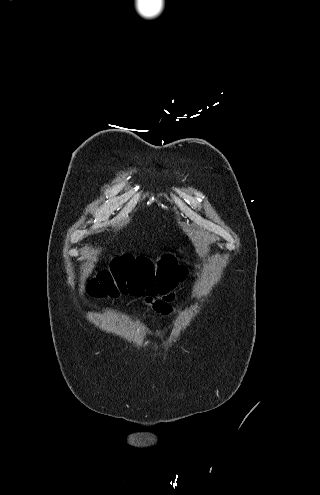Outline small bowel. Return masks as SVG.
Segmentation results:
<instances>
[{
	"mask_svg": "<svg viewBox=\"0 0 320 495\" xmlns=\"http://www.w3.org/2000/svg\"><path fill=\"white\" fill-rule=\"evenodd\" d=\"M183 278H184V274L181 279ZM173 289L174 286L164 293L143 294V295L145 296V301L152 307V309L156 313L163 316H170L174 313L172 303L176 299V293Z\"/></svg>",
	"mask_w": 320,
	"mask_h": 495,
	"instance_id": "1",
	"label": "small bowel"
}]
</instances>
